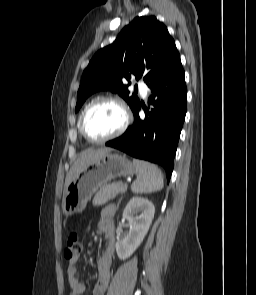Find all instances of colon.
<instances>
[{
	"mask_svg": "<svg viewBox=\"0 0 256 295\" xmlns=\"http://www.w3.org/2000/svg\"><path fill=\"white\" fill-rule=\"evenodd\" d=\"M82 250V243L77 233H71L66 239L64 256L66 259L72 260L76 258Z\"/></svg>",
	"mask_w": 256,
	"mask_h": 295,
	"instance_id": "5ec220e1",
	"label": "colon"
}]
</instances>
